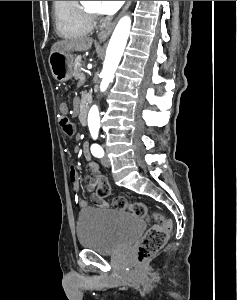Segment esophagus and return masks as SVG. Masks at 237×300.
<instances>
[{
  "label": "esophagus",
  "mask_w": 237,
  "mask_h": 300,
  "mask_svg": "<svg viewBox=\"0 0 237 300\" xmlns=\"http://www.w3.org/2000/svg\"><path fill=\"white\" fill-rule=\"evenodd\" d=\"M131 2H132V1H126L125 5H124V8H123V10L121 11L120 15L116 18V20H115L112 24H110L109 26H107L105 29H103V31H101V33H99L98 39H100V40H105V39H107V38L110 36V34H111V32L113 31V28L115 27V25H116L118 19H119L120 16H122V15L125 13V11L129 8Z\"/></svg>",
  "instance_id": "obj_1"
}]
</instances>
